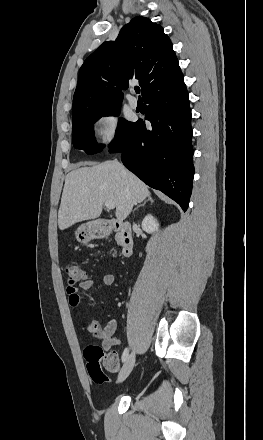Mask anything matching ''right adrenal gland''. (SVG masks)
<instances>
[{
    "label": "right adrenal gland",
    "instance_id": "1",
    "mask_svg": "<svg viewBox=\"0 0 263 440\" xmlns=\"http://www.w3.org/2000/svg\"><path fill=\"white\" fill-rule=\"evenodd\" d=\"M148 201H149L150 203H153V202H154L153 199H152V197H151V196H148V197H147V200H145L143 203H140L139 205H137V207L134 209V211H135L136 209H138L139 207L144 206ZM134 211H133V212H134Z\"/></svg>",
    "mask_w": 263,
    "mask_h": 440
}]
</instances>
